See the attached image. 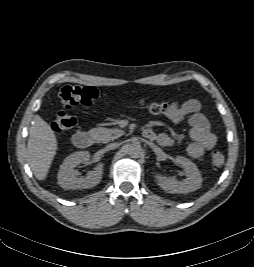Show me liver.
<instances>
[{
    "mask_svg": "<svg viewBox=\"0 0 254 267\" xmlns=\"http://www.w3.org/2000/svg\"><path fill=\"white\" fill-rule=\"evenodd\" d=\"M58 142L50 125L35 115L29 128L27 159L33 174L44 181L57 152Z\"/></svg>",
    "mask_w": 254,
    "mask_h": 267,
    "instance_id": "obj_1",
    "label": "liver"
}]
</instances>
